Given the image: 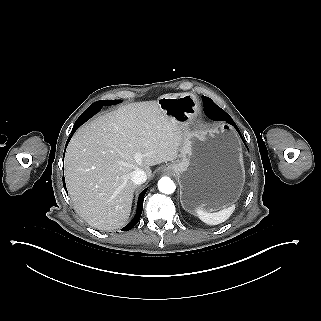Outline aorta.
Masks as SVG:
<instances>
[{"label": "aorta", "instance_id": "aorta-1", "mask_svg": "<svg viewBox=\"0 0 321 321\" xmlns=\"http://www.w3.org/2000/svg\"><path fill=\"white\" fill-rule=\"evenodd\" d=\"M158 189L162 193L172 194L175 191L176 186H175L174 182L171 180V178L162 177L158 181Z\"/></svg>", "mask_w": 321, "mask_h": 321}]
</instances>
